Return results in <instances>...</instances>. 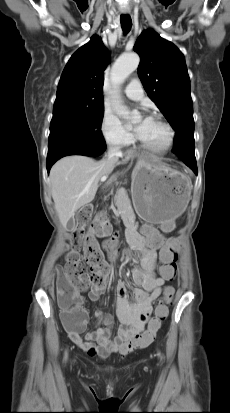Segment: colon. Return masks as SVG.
<instances>
[{
  "label": "colon",
  "mask_w": 230,
  "mask_h": 413,
  "mask_svg": "<svg viewBox=\"0 0 230 413\" xmlns=\"http://www.w3.org/2000/svg\"><path fill=\"white\" fill-rule=\"evenodd\" d=\"M76 227L69 240L71 251L67 254L66 262L58 275V302L67 312H74L76 320L81 318V311L77 307L75 291L86 290L89 287H101L109 266L105 260L103 249L95 239L108 226V218L103 213L94 214L90 205L82 207L76 215ZM180 242L177 238L169 239L161 251L162 266L158 267L161 277L173 281L177 272V256ZM104 248L111 253L117 251V236L106 241ZM83 251V259L90 267L86 271L79 251ZM173 294L168 292L158 304L155 314L149 321L147 330L137 339L130 341L125 346L129 353L136 348L150 344L160 329L162 321L168 315L167 305L171 302Z\"/></svg>",
  "instance_id": "obj_1"
}]
</instances>
